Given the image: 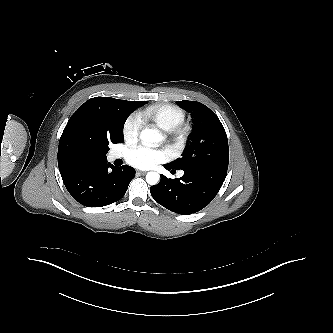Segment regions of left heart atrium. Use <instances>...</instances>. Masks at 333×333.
Wrapping results in <instances>:
<instances>
[{
	"mask_svg": "<svg viewBox=\"0 0 333 333\" xmlns=\"http://www.w3.org/2000/svg\"><path fill=\"white\" fill-rule=\"evenodd\" d=\"M129 164L136 168L147 169L167 159L166 151L162 149H151L144 146H136L126 153Z\"/></svg>",
	"mask_w": 333,
	"mask_h": 333,
	"instance_id": "obj_1",
	"label": "left heart atrium"
}]
</instances>
